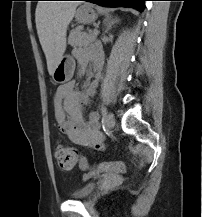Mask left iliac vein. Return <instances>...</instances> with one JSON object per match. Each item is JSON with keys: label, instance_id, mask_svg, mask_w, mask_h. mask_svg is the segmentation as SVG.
<instances>
[{"label": "left iliac vein", "instance_id": "obj_1", "mask_svg": "<svg viewBox=\"0 0 202 217\" xmlns=\"http://www.w3.org/2000/svg\"><path fill=\"white\" fill-rule=\"evenodd\" d=\"M115 125V119H114V116L112 113H108L106 116H105V126L108 128V129H111L113 128Z\"/></svg>", "mask_w": 202, "mask_h": 217}]
</instances>
